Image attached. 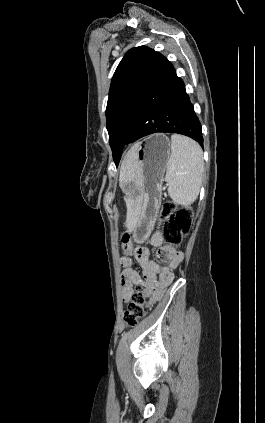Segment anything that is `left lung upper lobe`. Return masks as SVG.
<instances>
[{"label": "left lung upper lobe", "mask_w": 265, "mask_h": 423, "mask_svg": "<svg viewBox=\"0 0 265 423\" xmlns=\"http://www.w3.org/2000/svg\"><path fill=\"white\" fill-rule=\"evenodd\" d=\"M157 55L158 52L145 46L130 49L112 78L106 108V124L116 165L125 145L136 98Z\"/></svg>", "instance_id": "5c2ea615"}]
</instances>
